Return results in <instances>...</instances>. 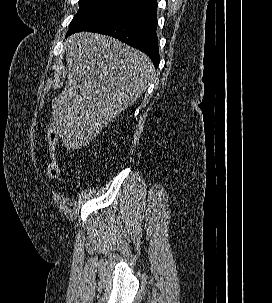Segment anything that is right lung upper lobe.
<instances>
[{
	"label": "right lung upper lobe",
	"mask_w": 272,
	"mask_h": 303,
	"mask_svg": "<svg viewBox=\"0 0 272 303\" xmlns=\"http://www.w3.org/2000/svg\"><path fill=\"white\" fill-rule=\"evenodd\" d=\"M122 1H127L136 4L141 10L157 4L156 0H122Z\"/></svg>",
	"instance_id": "obj_1"
}]
</instances>
